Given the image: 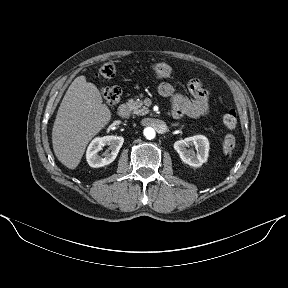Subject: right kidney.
Returning <instances> with one entry per match:
<instances>
[{
    "label": "right kidney",
    "instance_id": "obj_1",
    "mask_svg": "<svg viewBox=\"0 0 288 288\" xmlns=\"http://www.w3.org/2000/svg\"><path fill=\"white\" fill-rule=\"evenodd\" d=\"M123 142V137L112 135L93 139L86 152L88 164L93 168L110 164L117 157ZM104 146H109V148L102 155H99L98 152L102 150Z\"/></svg>",
    "mask_w": 288,
    "mask_h": 288
}]
</instances>
